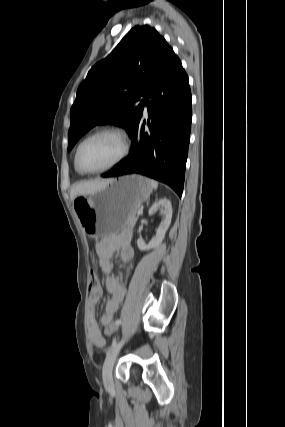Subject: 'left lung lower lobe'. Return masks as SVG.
Segmentation results:
<instances>
[{"label": "left lung lower lobe", "mask_w": 285, "mask_h": 427, "mask_svg": "<svg viewBox=\"0 0 285 427\" xmlns=\"http://www.w3.org/2000/svg\"><path fill=\"white\" fill-rule=\"evenodd\" d=\"M144 105L152 120L147 122L149 130H145L141 116L130 137L131 155L102 176L142 174L169 185L181 197L191 131V91L173 50L149 88Z\"/></svg>", "instance_id": "1"}]
</instances>
